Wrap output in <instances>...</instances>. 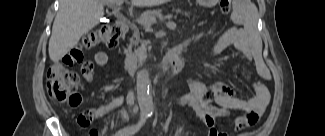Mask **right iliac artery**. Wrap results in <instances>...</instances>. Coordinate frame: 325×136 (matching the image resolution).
<instances>
[{
	"label": "right iliac artery",
	"instance_id": "1",
	"mask_svg": "<svg viewBox=\"0 0 325 136\" xmlns=\"http://www.w3.org/2000/svg\"><path fill=\"white\" fill-rule=\"evenodd\" d=\"M148 116L149 115H147V114H141L138 124L128 126L124 129H120L116 133V136H132V135H134L136 132H138V130L141 128V126L145 123Z\"/></svg>",
	"mask_w": 325,
	"mask_h": 136
}]
</instances>
